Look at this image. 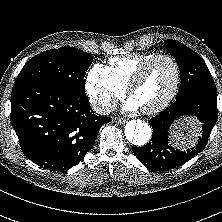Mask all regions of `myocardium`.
Masks as SVG:
<instances>
[{"mask_svg": "<svg viewBox=\"0 0 222 222\" xmlns=\"http://www.w3.org/2000/svg\"><path fill=\"white\" fill-rule=\"evenodd\" d=\"M161 59L168 60L173 64L174 70H175L174 83H173V86H172L170 92L167 94V96L160 103H158L157 105L150 107V108H142V111L146 114H155V113L162 111L171 103V101L176 96L178 89H179L180 80H181V68H180V65H179L178 61L176 60V58H174L173 56H171L169 54H157V55L153 56L152 58H150L149 60L144 62L137 69V71L131 77V79L128 83V86H127L128 93L130 95H132L135 87L143 80L148 68L154 62L161 60Z\"/></svg>", "mask_w": 222, "mask_h": 222, "instance_id": "1", "label": "myocardium"}]
</instances>
